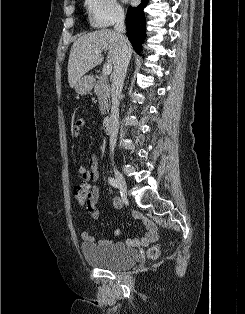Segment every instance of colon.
I'll use <instances>...</instances> for the list:
<instances>
[{"instance_id": "5ec220e1", "label": "colon", "mask_w": 245, "mask_h": 314, "mask_svg": "<svg viewBox=\"0 0 245 314\" xmlns=\"http://www.w3.org/2000/svg\"><path fill=\"white\" fill-rule=\"evenodd\" d=\"M73 194L78 203L82 205L87 204L92 196L91 187L86 183L77 184L73 189ZM158 252V249L153 247L150 249L148 255L150 258H156L158 256Z\"/></svg>"}]
</instances>
